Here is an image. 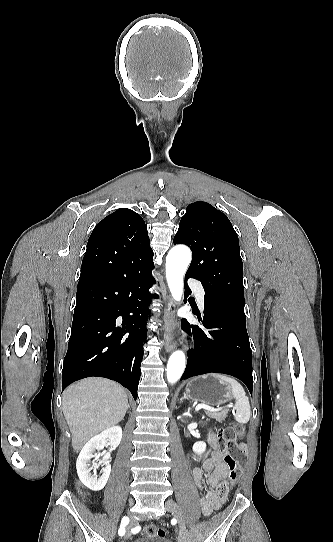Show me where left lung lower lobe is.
<instances>
[{
  "label": "left lung lower lobe",
  "mask_w": 333,
  "mask_h": 542,
  "mask_svg": "<svg viewBox=\"0 0 333 542\" xmlns=\"http://www.w3.org/2000/svg\"><path fill=\"white\" fill-rule=\"evenodd\" d=\"M185 276V296L191 293ZM199 318V312H194ZM203 329L181 320V327L194 338L181 380L205 373H223L240 379L252 395V351L246 330L244 303L226 297L204 302Z\"/></svg>",
  "instance_id": "1"
}]
</instances>
